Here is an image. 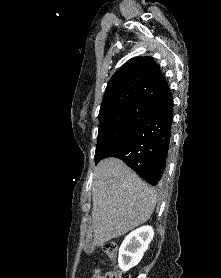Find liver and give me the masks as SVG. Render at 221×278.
Here are the masks:
<instances>
[{
	"label": "liver",
	"mask_w": 221,
	"mask_h": 278,
	"mask_svg": "<svg viewBox=\"0 0 221 278\" xmlns=\"http://www.w3.org/2000/svg\"><path fill=\"white\" fill-rule=\"evenodd\" d=\"M156 199L155 190L120 159L102 160L94 169L92 184L90 251L145 223Z\"/></svg>",
	"instance_id": "obj_1"
}]
</instances>
